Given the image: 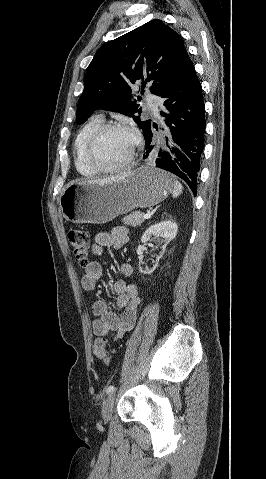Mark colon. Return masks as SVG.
Returning a JSON list of instances; mask_svg holds the SVG:
<instances>
[{"label":"colon","instance_id":"obj_1","mask_svg":"<svg viewBox=\"0 0 266 479\" xmlns=\"http://www.w3.org/2000/svg\"><path fill=\"white\" fill-rule=\"evenodd\" d=\"M67 239L78 262L82 266H88L90 264L89 234L85 230L72 227L67 232ZM93 354L104 364H109L110 356L104 338H97L94 341Z\"/></svg>","mask_w":266,"mask_h":479}]
</instances>
